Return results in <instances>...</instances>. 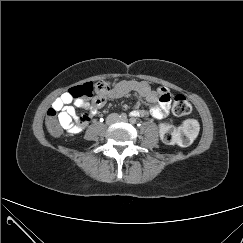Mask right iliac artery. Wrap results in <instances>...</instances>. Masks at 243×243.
Instances as JSON below:
<instances>
[{"label":"right iliac artery","mask_w":243,"mask_h":243,"mask_svg":"<svg viewBox=\"0 0 243 243\" xmlns=\"http://www.w3.org/2000/svg\"><path fill=\"white\" fill-rule=\"evenodd\" d=\"M119 117L120 119H127L126 113H121Z\"/></svg>","instance_id":"1"}]
</instances>
